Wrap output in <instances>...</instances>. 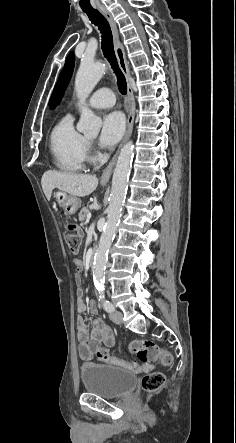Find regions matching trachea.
<instances>
[{
    "mask_svg": "<svg viewBox=\"0 0 236 443\" xmlns=\"http://www.w3.org/2000/svg\"><path fill=\"white\" fill-rule=\"evenodd\" d=\"M83 11L88 15L90 21L98 27L101 32V48L104 57L109 61L116 77L117 85L121 94L125 95L127 93V83L124 74L122 73L114 52L113 47V36L110 25L106 18L96 9H83Z\"/></svg>",
    "mask_w": 236,
    "mask_h": 443,
    "instance_id": "obj_1",
    "label": "trachea"
}]
</instances>
